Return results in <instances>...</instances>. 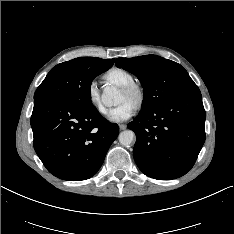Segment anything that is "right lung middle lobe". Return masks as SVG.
I'll use <instances>...</instances> for the list:
<instances>
[{"instance_id":"obj_1","label":"right lung middle lobe","mask_w":234,"mask_h":234,"mask_svg":"<svg viewBox=\"0 0 234 234\" xmlns=\"http://www.w3.org/2000/svg\"><path fill=\"white\" fill-rule=\"evenodd\" d=\"M108 69L89 67L79 58L60 63L50 70L37 88L34 100L43 97L63 98L81 107H90L91 83L97 75Z\"/></svg>"}]
</instances>
